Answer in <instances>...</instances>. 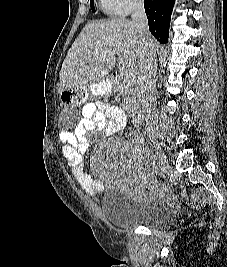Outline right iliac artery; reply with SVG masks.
I'll return each mask as SVG.
<instances>
[{
    "mask_svg": "<svg viewBox=\"0 0 227 267\" xmlns=\"http://www.w3.org/2000/svg\"><path fill=\"white\" fill-rule=\"evenodd\" d=\"M156 159H157L156 155L153 154L151 156V164H152L153 167L156 165Z\"/></svg>",
    "mask_w": 227,
    "mask_h": 267,
    "instance_id": "obj_1",
    "label": "right iliac artery"
}]
</instances>
